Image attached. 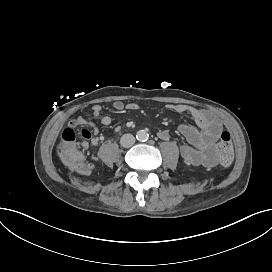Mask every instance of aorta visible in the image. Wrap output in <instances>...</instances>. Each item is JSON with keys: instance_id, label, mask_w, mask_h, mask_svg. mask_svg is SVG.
Masks as SVG:
<instances>
[{"instance_id": "obj_1", "label": "aorta", "mask_w": 272, "mask_h": 272, "mask_svg": "<svg viewBox=\"0 0 272 272\" xmlns=\"http://www.w3.org/2000/svg\"><path fill=\"white\" fill-rule=\"evenodd\" d=\"M136 138L139 141H146L148 139V134L144 130H140L137 132Z\"/></svg>"}]
</instances>
